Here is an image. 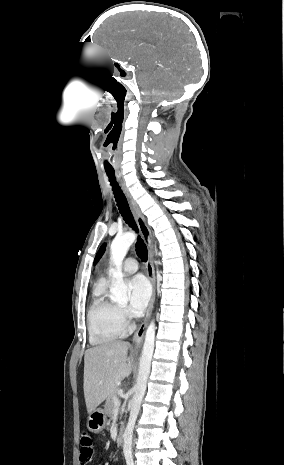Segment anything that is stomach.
I'll return each instance as SVG.
<instances>
[{
  "mask_svg": "<svg viewBox=\"0 0 284 465\" xmlns=\"http://www.w3.org/2000/svg\"><path fill=\"white\" fill-rule=\"evenodd\" d=\"M106 415L104 409H95L92 413H89V417L87 419V429L91 431V433H100L103 431L106 425Z\"/></svg>",
  "mask_w": 284,
  "mask_h": 465,
  "instance_id": "stomach-1",
  "label": "stomach"
}]
</instances>
